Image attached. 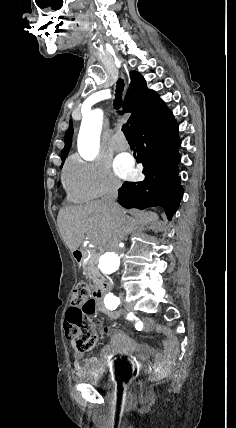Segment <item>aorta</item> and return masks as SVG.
I'll list each match as a JSON object with an SVG mask.
<instances>
[{"label":"aorta","instance_id":"aorta-1","mask_svg":"<svg viewBox=\"0 0 236 428\" xmlns=\"http://www.w3.org/2000/svg\"><path fill=\"white\" fill-rule=\"evenodd\" d=\"M102 122L103 112L100 109H95L82 118L78 149L85 159L95 158L99 151ZM119 265V257L114 252H106L100 257L98 268L102 274H112L118 270Z\"/></svg>","mask_w":236,"mask_h":428}]
</instances>
